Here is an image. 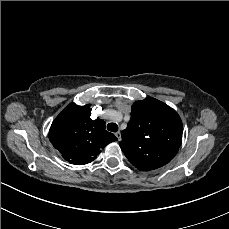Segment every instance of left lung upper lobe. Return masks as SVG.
I'll use <instances>...</instances> for the list:
<instances>
[{
	"label": "left lung upper lobe",
	"mask_w": 229,
	"mask_h": 229,
	"mask_svg": "<svg viewBox=\"0 0 229 229\" xmlns=\"http://www.w3.org/2000/svg\"><path fill=\"white\" fill-rule=\"evenodd\" d=\"M183 126L178 113L167 104L147 97L132 105L131 119L119 145L140 171L164 166L182 143Z\"/></svg>",
	"instance_id": "left-lung-upper-lobe-1"
}]
</instances>
